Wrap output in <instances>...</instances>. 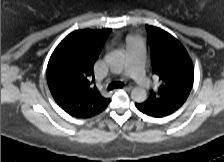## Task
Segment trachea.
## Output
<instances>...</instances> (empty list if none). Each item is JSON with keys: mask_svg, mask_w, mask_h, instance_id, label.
I'll return each mask as SVG.
<instances>
[{"mask_svg": "<svg viewBox=\"0 0 224 162\" xmlns=\"http://www.w3.org/2000/svg\"><path fill=\"white\" fill-rule=\"evenodd\" d=\"M123 83L122 82H119V81H116V82H112L108 85V90H113V89H116V88H121L123 87Z\"/></svg>", "mask_w": 224, "mask_h": 162, "instance_id": "obj_1", "label": "trachea"}]
</instances>
